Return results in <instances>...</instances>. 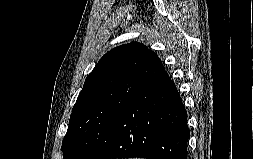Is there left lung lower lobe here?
Segmentation results:
<instances>
[{"instance_id": "1", "label": "left lung lower lobe", "mask_w": 253, "mask_h": 159, "mask_svg": "<svg viewBox=\"0 0 253 159\" xmlns=\"http://www.w3.org/2000/svg\"><path fill=\"white\" fill-rule=\"evenodd\" d=\"M189 135L187 112L164 71L122 110L93 159H187Z\"/></svg>"}]
</instances>
